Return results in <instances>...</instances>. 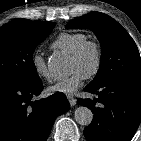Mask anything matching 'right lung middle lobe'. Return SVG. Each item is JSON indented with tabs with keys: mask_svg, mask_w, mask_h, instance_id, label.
Returning a JSON list of instances; mask_svg holds the SVG:
<instances>
[{
	"mask_svg": "<svg viewBox=\"0 0 141 141\" xmlns=\"http://www.w3.org/2000/svg\"><path fill=\"white\" fill-rule=\"evenodd\" d=\"M54 26L53 22L16 19L0 28V82L40 80L32 54Z\"/></svg>",
	"mask_w": 141,
	"mask_h": 141,
	"instance_id": "right-lung-middle-lobe-1",
	"label": "right lung middle lobe"
}]
</instances>
